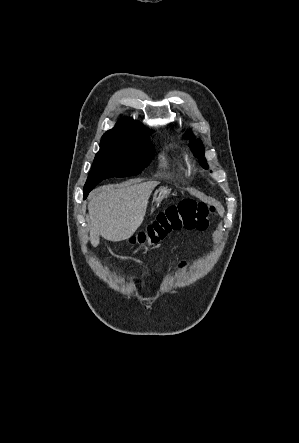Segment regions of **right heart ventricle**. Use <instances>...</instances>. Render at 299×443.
<instances>
[{"label":"right heart ventricle","instance_id":"1","mask_svg":"<svg viewBox=\"0 0 299 443\" xmlns=\"http://www.w3.org/2000/svg\"><path fill=\"white\" fill-rule=\"evenodd\" d=\"M172 159H174L173 156L170 154H166L162 157V166L167 167L171 163Z\"/></svg>","mask_w":299,"mask_h":443}]
</instances>
